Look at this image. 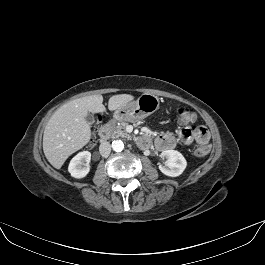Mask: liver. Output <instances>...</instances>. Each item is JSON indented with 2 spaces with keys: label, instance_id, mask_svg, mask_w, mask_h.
Masks as SVG:
<instances>
[{
  "label": "liver",
  "instance_id": "obj_1",
  "mask_svg": "<svg viewBox=\"0 0 265 265\" xmlns=\"http://www.w3.org/2000/svg\"><path fill=\"white\" fill-rule=\"evenodd\" d=\"M133 99L130 94L113 95L108 109L116 110ZM104 111L102 95H92L70 101L54 112L43 135V151L53 167L60 169L70 155L90 141L91 129L86 115Z\"/></svg>",
  "mask_w": 265,
  "mask_h": 265
}]
</instances>
